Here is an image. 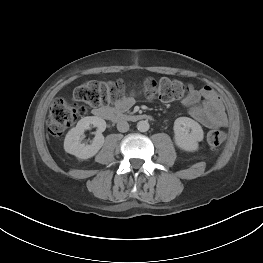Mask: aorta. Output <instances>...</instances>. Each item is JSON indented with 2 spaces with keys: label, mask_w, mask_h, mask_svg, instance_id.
<instances>
[{
  "label": "aorta",
  "mask_w": 263,
  "mask_h": 263,
  "mask_svg": "<svg viewBox=\"0 0 263 263\" xmlns=\"http://www.w3.org/2000/svg\"><path fill=\"white\" fill-rule=\"evenodd\" d=\"M149 128H150V125H149L148 121H146V120H142V121H139L137 123V129L140 132H146L149 130Z\"/></svg>",
  "instance_id": "762f6f07"
}]
</instances>
